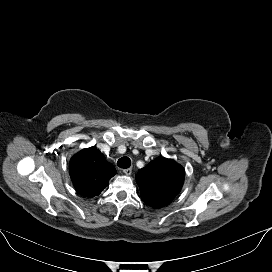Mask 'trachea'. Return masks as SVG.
I'll return each mask as SVG.
<instances>
[{
    "label": "trachea",
    "instance_id": "trachea-1",
    "mask_svg": "<svg viewBox=\"0 0 272 272\" xmlns=\"http://www.w3.org/2000/svg\"><path fill=\"white\" fill-rule=\"evenodd\" d=\"M117 165L120 168L127 169L131 166V160L128 157H122L117 161Z\"/></svg>",
    "mask_w": 272,
    "mask_h": 272
}]
</instances>
